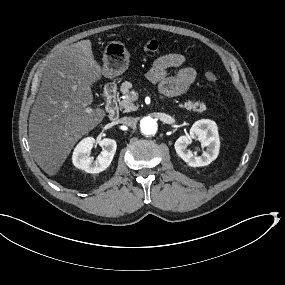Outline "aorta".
Listing matches in <instances>:
<instances>
[{
	"label": "aorta",
	"mask_w": 285,
	"mask_h": 285,
	"mask_svg": "<svg viewBox=\"0 0 285 285\" xmlns=\"http://www.w3.org/2000/svg\"><path fill=\"white\" fill-rule=\"evenodd\" d=\"M140 131L143 135H154L158 131V125L155 119L144 118L140 122Z\"/></svg>",
	"instance_id": "aorta-1"
}]
</instances>
